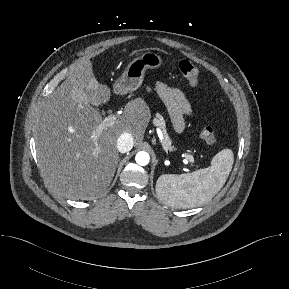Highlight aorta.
I'll list each match as a JSON object with an SVG mask.
<instances>
[{"instance_id": "762f6f07", "label": "aorta", "mask_w": 289, "mask_h": 289, "mask_svg": "<svg viewBox=\"0 0 289 289\" xmlns=\"http://www.w3.org/2000/svg\"><path fill=\"white\" fill-rule=\"evenodd\" d=\"M135 160H136L137 164H139L141 166H145L149 163L150 156L147 152L140 151L136 154Z\"/></svg>"}]
</instances>
